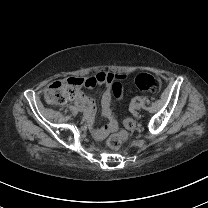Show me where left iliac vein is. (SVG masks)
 <instances>
[{
  "label": "left iliac vein",
  "mask_w": 208,
  "mask_h": 208,
  "mask_svg": "<svg viewBox=\"0 0 208 208\" xmlns=\"http://www.w3.org/2000/svg\"><path fill=\"white\" fill-rule=\"evenodd\" d=\"M141 107H142V105H141L140 103H136L135 106H134V108H135L136 110H140Z\"/></svg>",
  "instance_id": "left-iliac-vein-1"
}]
</instances>
